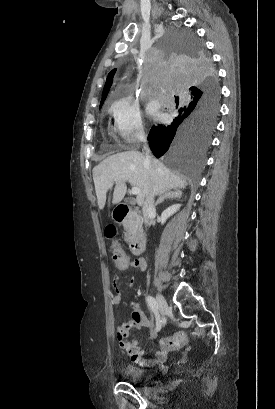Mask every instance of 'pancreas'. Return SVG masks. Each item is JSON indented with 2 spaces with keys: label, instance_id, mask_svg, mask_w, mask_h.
<instances>
[{
  "label": "pancreas",
  "instance_id": "obj_1",
  "mask_svg": "<svg viewBox=\"0 0 275 409\" xmlns=\"http://www.w3.org/2000/svg\"><path fill=\"white\" fill-rule=\"evenodd\" d=\"M123 227L126 231L125 241H127V243H130L133 235H136L137 231H140V229H142V221L141 219H139V217H134V215L130 213L127 219H125Z\"/></svg>",
  "mask_w": 275,
  "mask_h": 409
}]
</instances>
